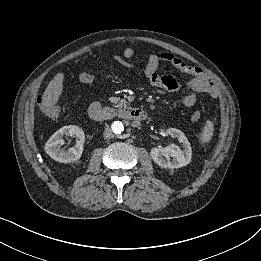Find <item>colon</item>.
<instances>
[{
	"label": "colon",
	"mask_w": 261,
	"mask_h": 261,
	"mask_svg": "<svg viewBox=\"0 0 261 261\" xmlns=\"http://www.w3.org/2000/svg\"><path fill=\"white\" fill-rule=\"evenodd\" d=\"M182 71L190 72L192 74V79L189 83V88L194 92L206 91L211 85L212 81L208 73L199 67L190 68L189 65L184 64L182 66ZM38 104L42 108L43 112L49 117H56L58 115L57 108L53 104H48L44 102V100L39 97ZM200 113L195 112L192 116L194 120H198L200 118Z\"/></svg>",
	"instance_id": "colon-1"
}]
</instances>
